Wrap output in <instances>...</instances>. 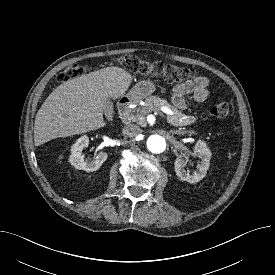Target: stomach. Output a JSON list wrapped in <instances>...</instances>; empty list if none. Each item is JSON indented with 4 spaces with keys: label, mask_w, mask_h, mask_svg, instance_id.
<instances>
[{
    "label": "stomach",
    "mask_w": 275,
    "mask_h": 275,
    "mask_svg": "<svg viewBox=\"0 0 275 275\" xmlns=\"http://www.w3.org/2000/svg\"><path fill=\"white\" fill-rule=\"evenodd\" d=\"M155 84L150 80H143L135 84L129 91L128 97L132 100H141L150 96L155 91Z\"/></svg>",
    "instance_id": "0dacf381"
}]
</instances>
